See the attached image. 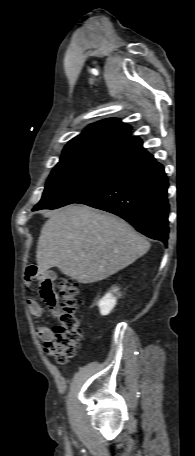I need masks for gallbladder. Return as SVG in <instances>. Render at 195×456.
<instances>
[{"mask_svg":"<svg viewBox=\"0 0 195 456\" xmlns=\"http://www.w3.org/2000/svg\"><path fill=\"white\" fill-rule=\"evenodd\" d=\"M47 277L51 280H55L56 279V273L51 271L47 274Z\"/></svg>","mask_w":195,"mask_h":456,"instance_id":"gallbladder-1","label":"gallbladder"}]
</instances>
